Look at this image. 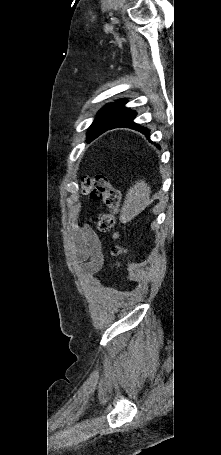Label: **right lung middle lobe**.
Segmentation results:
<instances>
[{
  "instance_id": "obj_1",
  "label": "right lung middle lobe",
  "mask_w": 221,
  "mask_h": 455,
  "mask_svg": "<svg viewBox=\"0 0 221 455\" xmlns=\"http://www.w3.org/2000/svg\"><path fill=\"white\" fill-rule=\"evenodd\" d=\"M128 111L111 106H105L98 113V117L90 126L87 141L90 142L97 136L108 130L117 123Z\"/></svg>"
}]
</instances>
